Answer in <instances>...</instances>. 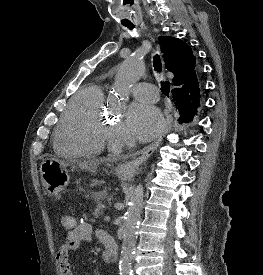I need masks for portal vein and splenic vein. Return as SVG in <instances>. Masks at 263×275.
Instances as JSON below:
<instances>
[{"mask_svg":"<svg viewBox=\"0 0 263 275\" xmlns=\"http://www.w3.org/2000/svg\"><path fill=\"white\" fill-rule=\"evenodd\" d=\"M104 220H105V221H109V220H110V217H109V216H105Z\"/></svg>","mask_w":263,"mask_h":275,"instance_id":"obj_1","label":"portal vein and splenic vein"}]
</instances>
